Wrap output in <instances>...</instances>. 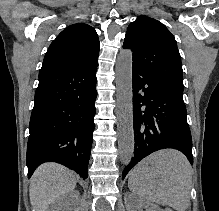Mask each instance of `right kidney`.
I'll list each match as a JSON object with an SVG mask.
<instances>
[{"label":"right kidney","mask_w":219,"mask_h":211,"mask_svg":"<svg viewBox=\"0 0 219 211\" xmlns=\"http://www.w3.org/2000/svg\"><path fill=\"white\" fill-rule=\"evenodd\" d=\"M77 195H79V191ZM69 201H73V195H70ZM65 203H66V197H58L55 203H52V205H50L48 211H64Z\"/></svg>","instance_id":"obj_1"}]
</instances>
